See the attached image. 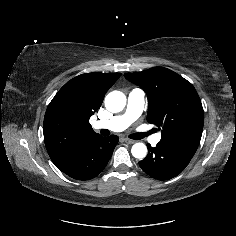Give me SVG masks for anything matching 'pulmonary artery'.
Listing matches in <instances>:
<instances>
[{"instance_id": "pulmonary-artery-1", "label": "pulmonary artery", "mask_w": 236, "mask_h": 236, "mask_svg": "<svg viewBox=\"0 0 236 236\" xmlns=\"http://www.w3.org/2000/svg\"><path fill=\"white\" fill-rule=\"evenodd\" d=\"M145 103V93L142 89L135 88L130 91L127 100V107L123 114L113 116L107 120H99L94 123L96 129H108L114 132L125 130L142 113ZM161 139V134L157 133L150 138V142L155 145Z\"/></svg>"}]
</instances>
